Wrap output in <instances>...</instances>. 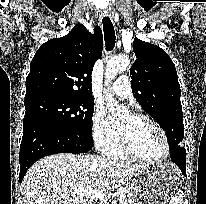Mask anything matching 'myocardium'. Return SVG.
I'll list each match as a JSON object with an SVG mask.
<instances>
[{
    "label": "myocardium",
    "instance_id": "obj_1",
    "mask_svg": "<svg viewBox=\"0 0 206 204\" xmlns=\"http://www.w3.org/2000/svg\"><path fill=\"white\" fill-rule=\"evenodd\" d=\"M130 116L136 120H145L149 122L160 133L164 141L165 153L162 157L157 158V159H149V158L141 156L132 148L125 134L118 128V139H119V143H120V146L123 152L128 157L134 160L148 163V164H160L166 161L171 155V144L167 136V133L165 132L163 127L156 120H154L151 116L147 114L135 112V113H131Z\"/></svg>",
    "mask_w": 206,
    "mask_h": 204
}]
</instances>
